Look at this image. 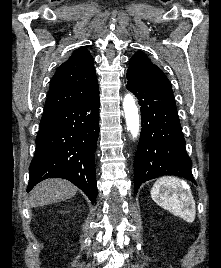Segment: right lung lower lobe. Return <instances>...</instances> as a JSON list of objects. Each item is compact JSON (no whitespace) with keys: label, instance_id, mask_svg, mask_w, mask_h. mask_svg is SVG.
Listing matches in <instances>:
<instances>
[{"label":"right lung lower lobe","instance_id":"right-lung-lower-lobe-1","mask_svg":"<svg viewBox=\"0 0 221 268\" xmlns=\"http://www.w3.org/2000/svg\"><path fill=\"white\" fill-rule=\"evenodd\" d=\"M99 135V91L78 103L44 110L29 167L27 192L40 181H71L95 203L94 152Z\"/></svg>","mask_w":221,"mask_h":268}]
</instances>
